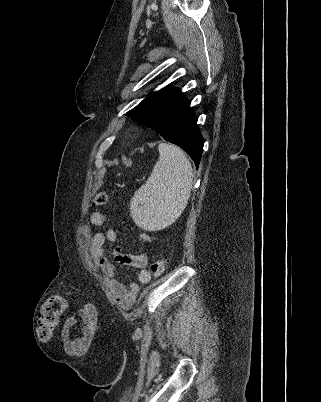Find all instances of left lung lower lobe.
<instances>
[{"mask_svg":"<svg viewBox=\"0 0 321 402\" xmlns=\"http://www.w3.org/2000/svg\"><path fill=\"white\" fill-rule=\"evenodd\" d=\"M154 130L166 141L184 149L199 166L204 140L197 118L180 89L174 88L161 104Z\"/></svg>","mask_w":321,"mask_h":402,"instance_id":"0a47b994","label":"left lung lower lobe"}]
</instances>
